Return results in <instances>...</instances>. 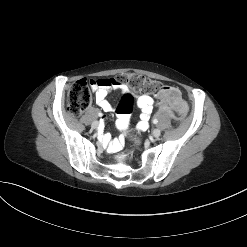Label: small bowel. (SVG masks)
I'll return each mask as SVG.
<instances>
[{
    "label": "small bowel",
    "instance_id": "small-bowel-1",
    "mask_svg": "<svg viewBox=\"0 0 247 247\" xmlns=\"http://www.w3.org/2000/svg\"><path fill=\"white\" fill-rule=\"evenodd\" d=\"M92 89L95 91V101L97 105L105 112L112 111L113 107L107 100V96L111 90H117L122 93L128 91L127 86L115 82L113 79H99L96 80ZM137 106L141 110L140 121L138 122V129L144 131L149 127V119L153 111V98L147 94H142L137 98ZM103 142L108 145L111 150H117L121 147L120 140L111 141L110 138L103 137Z\"/></svg>",
    "mask_w": 247,
    "mask_h": 247
}]
</instances>
